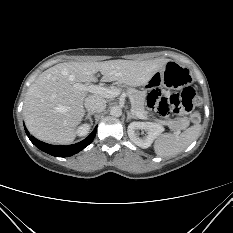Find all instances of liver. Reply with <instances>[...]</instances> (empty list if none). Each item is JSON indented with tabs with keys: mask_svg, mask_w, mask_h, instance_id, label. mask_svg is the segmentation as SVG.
Masks as SVG:
<instances>
[{
	"mask_svg": "<svg viewBox=\"0 0 233 233\" xmlns=\"http://www.w3.org/2000/svg\"><path fill=\"white\" fill-rule=\"evenodd\" d=\"M169 62L109 60L104 62H65L41 73L29 87L23 106L25 124L37 139L52 144H69L77 134L84 115L86 84L103 75L104 82L125 86L146 85ZM102 97L99 94H93ZM90 96V95H89Z\"/></svg>",
	"mask_w": 233,
	"mask_h": 233,
	"instance_id": "obj_1",
	"label": "liver"
}]
</instances>
